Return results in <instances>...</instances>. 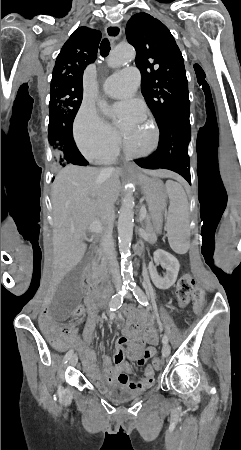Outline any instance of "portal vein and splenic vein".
<instances>
[{"label":"portal vein and splenic vein","instance_id":"portal-vein-and-splenic-vein-1","mask_svg":"<svg viewBox=\"0 0 241 450\" xmlns=\"http://www.w3.org/2000/svg\"><path fill=\"white\" fill-rule=\"evenodd\" d=\"M147 209L141 208L140 210V216H142V218H147ZM143 220V219H142ZM103 228H102V224L101 222H93V224H91L90 228H88V232H102Z\"/></svg>","mask_w":241,"mask_h":450}]
</instances>
